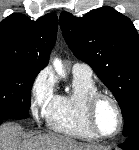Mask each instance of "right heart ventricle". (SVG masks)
<instances>
[{"instance_id": "e07e8e85", "label": "right heart ventricle", "mask_w": 139, "mask_h": 150, "mask_svg": "<svg viewBox=\"0 0 139 150\" xmlns=\"http://www.w3.org/2000/svg\"><path fill=\"white\" fill-rule=\"evenodd\" d=\"M99 92L91 77L73 76L72 89L54 95L44 111L48 127L56 132L86 140L98 137L90 129L86 119V103Z\"/></svg>"}]
</instances>
